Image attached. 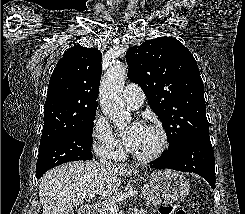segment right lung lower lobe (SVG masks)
Segmentation results:
<instances>
[{"label": "right lung lower lobe", "instance_id": "1", "mask_svg": "<svg viewBox=\"0 0 245 214\" xmlns=\"http://www.w3.org/2000/svg\"><path fill=\"white\" fill-rule=\"evenodd\" d=\"M43 174H44V173L39 174V175H36V176H37V178L39 179Z\"/></svg>", "mask_w": 245, "mask_h": 214}]
</instances>
